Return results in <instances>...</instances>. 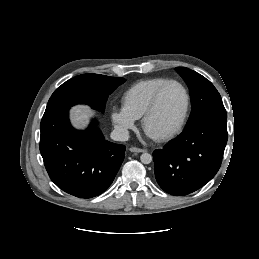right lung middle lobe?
Returning a JSON list of instances; mask_svg holds the SVG:
<instances>
[{"label": "right lung middle lobe", "mask_w": 259, "mask_h": 259, "mask_svg": "<svg viewBox=\"0 0 259 259\" xmlns=\"http://www.w3.org/2000/svg\"><path fill=\"white\" fill-rule=\"evenodd\" d=\"M124 82V78L100 74H82L71 78L54 91L43 116L69 109L76 104H88L104 112L108 96Z\"/></svg>", "instance_id": "1"}]
</instances>
